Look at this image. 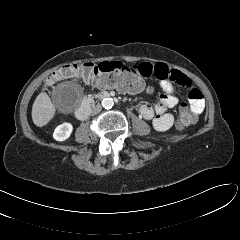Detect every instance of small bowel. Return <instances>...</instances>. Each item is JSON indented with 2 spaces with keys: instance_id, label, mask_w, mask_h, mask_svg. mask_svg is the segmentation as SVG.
<instances>
[{
  "instance_id": "obj_1",
  "label": "small bowel",
  "mask_w": 240,
  "mask_h": 240,
  "mask_svg": "<svg viewBox=\"0 0 240 240\" xmlns=\"http://www.w3.org/2000/svg\"><path fill=\"white\" fill-rule=\"evenodd\" d=\"M141 78L154 77L159 80L162 94L154 108L148 104H142L138 112L142 118L150 122L157 131H166L173 125V115L168 111L179 102V96L175 86L188 89V106L192 113L197 116L205 107V100L200 90L192 86L191 80L182 72L169 67L164 63L143 62L134 67ZM105 88L107 86L97 85Z\"/></svg>"
}]
</instances>
